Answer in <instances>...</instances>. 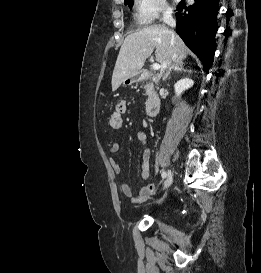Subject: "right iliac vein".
<instances>
[{
  "label": "right iliac vein",
  "mask_w": 261,
  "mask_h": 273,
  "mask_svg": "<svg viewBox=\"0 0 261 273\" xmlns=\"http://www.w3.org/2000/svg\"><path fill=\"white\" fill-rule=\"evenodd\" d=\"M172 180H173V174L169 170L168 173H167V178H166L165 183H164V190L167 189L171 185Z\"/></svg>",
  "instance_id": "obj_1"
}]
</instances>
